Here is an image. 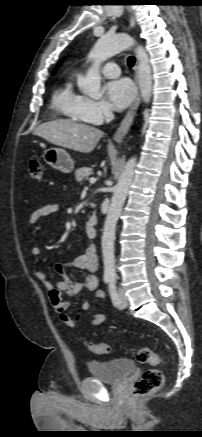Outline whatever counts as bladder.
<instances>
[{"mask_svg": "<svg viewBox=\"0 0 202 437\" xmlns=\"http://www.w3.org/2000/svg\"><path fill=\"white\" fill-rule=\"evenodd\" d=\"M136 370V364L128 358H118L108 361H91L88 371L92 378L107 383H118Z\"/></svg>", "mask_w": 202, "mask_h": 437, "instance_id": "31cf9c89", "label": "bladder"}]
</instances>
